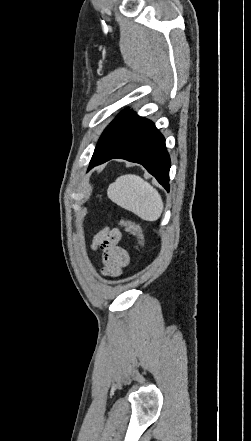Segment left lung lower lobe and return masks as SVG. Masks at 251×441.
<instances>
[{
    "mask_svg": "<svg viewBox=\"0 0 251 441\" xmlns=\"http://www.w3.org/2000/svg\"><path fill=\"white\" fill-rule=\"evenodd\" d=\"M113 158L143 165L169 191L170 157L155 125L132 111L117 116L101 135L89 169Z\"/></svg>",
    "mask_w": 251,
    "mask_h": 441,
    "instance_id": "0a47b994",
    "label": "left lung lower lobe"
}]
</instances>
